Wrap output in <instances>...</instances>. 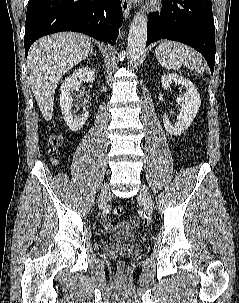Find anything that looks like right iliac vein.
<instances>
[{
  "instance_id": "obj_1",
  "label": "right iliac vein",
  "mask_w": 239,
  "mask_h": 303,
  "mask_svg": "<svg viewBox=\"0 0 239 303\" xmlns=\"http://www.w3.org/2000/svg\"><path fill=\"white\" fill-rule=\"evenodd\" d=\"M110 197H111V192L109 190V186H108V184H105L102 188V191H101V194H100V197L98 200L99 208H102Z\"/></svg>"
}]
</instances>
